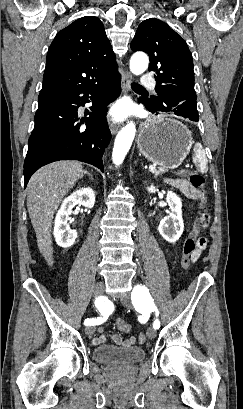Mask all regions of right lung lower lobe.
<instances>
[{
	"label": "right lung lower lobe",
	"mask_w": 243,
	"mask_h": 409,
	"mask_svg": "<svg viewBox=\"0 0 243 409\" xmlns=\"http://www.w3.org/2000/svg\"><path fill=\"white\" fill-rule=\"evenodd\" d=\"M118 71L92 84L39 94L35 127L24 161L25 187L40 167L59 160H79L104 171L102 155L111 139L106 107L121 93ZM92 102L85 119L78 108Z\"/></svg>",
	"instance_id": "obj_1"
}]
</instances>
